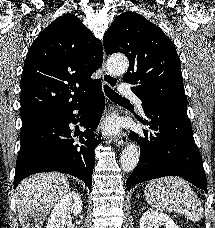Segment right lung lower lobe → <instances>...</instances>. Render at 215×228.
<instances>
[{
    "label": "right lung lower lobe",
    "instance_id": "1",
    "mask_svg": "<svg viewBox=\"0 0 215 228\" xmlns=\"http://www.w3.org/2000/svg\"><path fill=\"white\" fill-rule=\"evenodd\" d=\"M105 106L101 82L88 94L61 112L56 118L20 134L21 148L16 162L14 189L26 177L34 173L58 171L83 180L91 190L92 173L95 165V147L101 142L95 137L96 129ZM79 109L81 117L73 114ZM81 122L85 132H75L79 144L72 139L69 124ZM86 137V140L82 139Z\"/></svg>",
    "mask_w": 215,
    "mask_h": 228
}]
</instances>
